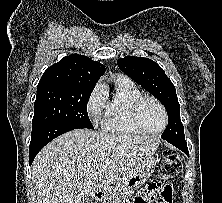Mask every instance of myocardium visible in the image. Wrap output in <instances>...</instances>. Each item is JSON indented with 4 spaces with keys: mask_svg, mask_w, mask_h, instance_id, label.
I'll return each instance as SVG.
<instances>
[{
    "mask_svg": "<svg viewBox=\"0 0 222 203\" xmlns=\"http://www.w3.org/2000/svg\"><path fill=\"white\" fill-rule=\"evenodd\" d=\"M147 100H150V101H153L154 103H156L157 106L161 109V111L163 113L164 123H163V126L159 130L152 131V130L147 129L143 125V123L140 119V108L143 105V103ZM130 113H131L132 121L143 133H147L150 135H158V134L162 133L168 125V113H167L165 106L157 98L150 96V95H141L140 97L135 99L131 105Z\"/></svg>",
    "mask_w": 222,
    "mask_h": 203,
    "instance_id": "myocardium-1",
    "label": "myocardium"
}]
</instances>
